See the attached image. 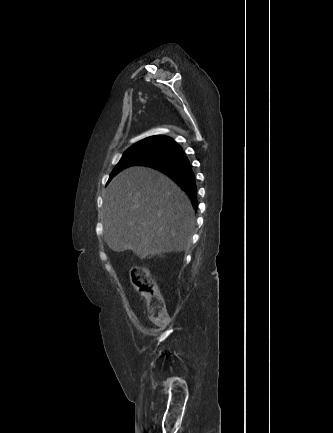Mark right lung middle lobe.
I'll list each match as a JSON object with an SVG mask.
<instances>
[{
  "mask_svg": "<svg viewBox=\"0 0 333 433\" xmlns=\"http://www.w3.org/2000/svg\"><path fill=\"white\" fill-rule=\"evenodd\" d=\"M171 151V148L166 147L162 142L155 140L133 145L123 154L121 160L110 174L108 182L116 174L129 166L149 163L168 155Z\"/></svg>",
  "mask_w": 333,
  "mask_h": 433,
  "instance_id": "obj_1",
  "label": "right lung middle lobe"
}]
</instances>
